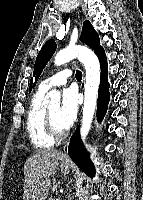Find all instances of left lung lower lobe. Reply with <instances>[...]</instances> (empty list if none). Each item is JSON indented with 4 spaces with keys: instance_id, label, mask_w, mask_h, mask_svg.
<instances>
[{
    "instance_id": "obj_1",
    "label": "left lung lower lobe",
    "mask_w": 143,
    "mask_h": 200,
    "mask_svg": "<svg viewBox=\"0 0 143 200\" xmlns=\"http://www.w3.org/2000/svg\"><path fill=\"white\" fill-rule=\"evenodd\" d=\"M101 64V84L98 92L97 117L101 121L106 114L110 100L107 58L104 49L101 47L96 52ZM68 154L71 159L90 177L94 176L95 168L88 153L85 151L80 139L79 129L73 134L69 146Z\"/></svg>"
}]
</instances>
